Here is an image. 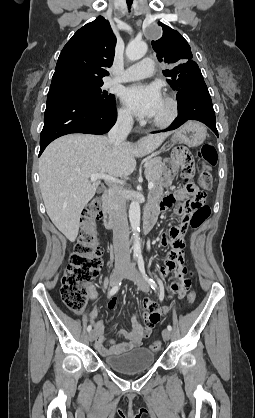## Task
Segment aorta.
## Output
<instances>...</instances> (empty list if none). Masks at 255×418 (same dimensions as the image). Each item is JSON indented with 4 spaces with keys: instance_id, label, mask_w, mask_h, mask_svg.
Wrapping results in <instances>:
<instances>
[{
    "instance_id": "aorta-1",
    "label": "aorta",
    "mask_w": 255,
    "mask_h": 418,
    "mask_svg": "<svg viewBox=\"0 0 255 418\" xmlns=\"http://www.w3.org/2000/svg\"><path fill=\"white\" fill-rule=\"evenodd\" d=\"M147 52V44L142 41H132L126 48V56L131 61H136L142 58ZM129 220L133 232L134 244L133 251L135 256L141 255V244H140V204L134 200L131 202L129 207Z\"/></svg>"
}]
</instances>
